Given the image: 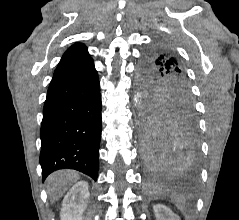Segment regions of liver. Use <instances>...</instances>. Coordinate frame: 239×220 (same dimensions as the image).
I'll list each match as a JSON object with an SVG mask.
<instances>
[{"instance_id":"1","label":"liver","mask_w":239,"mask_h":220,"mask_svg":"<svg viewBox=\"0 0 239 220\" xmlns=\"http://www.w3.org/2000/svg\"><path fill=\"white\" fill-rule=\"evenodd\" d=\"M78 179L79 174L72 170H60L52 173L46 180L51 203L60 199Z\"/></svg>"}]
</instances>
